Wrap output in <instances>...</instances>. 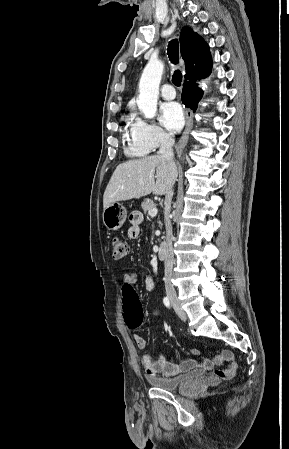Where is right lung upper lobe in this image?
I'll return each mask as SVG.
<instances>
[{"label": "right lung upper lobe", "mask_w": 289, "mask_h": 449, "mask_svg": "<svg viewBox=\"0 0 289 449\" xmlns=\"http://www.w3.org/2000/svg\"><path fill=\"white\" fill-rule=\"evenodd\" d=\"M180 47L185 61V79L203 76L212 65L208 44L199 34L186 26L180 35Z\"/></svg>", "instance_id": "cb5924a9"}]
</instances>
